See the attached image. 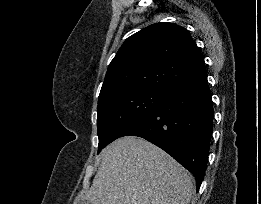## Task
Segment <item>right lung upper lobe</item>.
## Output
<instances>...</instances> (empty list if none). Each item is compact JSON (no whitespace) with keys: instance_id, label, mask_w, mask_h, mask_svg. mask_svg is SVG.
Masks as SVG:
<instances>
[{"instance_id":"cb5924a9","label":"right lung upper lobe","mask_w":261,"mask_h":204,"mask_svg":"<svg viewBox=\"0 0 261 204\" xmlns=\"http://www.w3.org/2000/svg\"><path fill=\"white\" fill-rule=\"evenodd\" d=\"M203 65V55L184 27L152 24L125 40L108 66L99 100L122 90L166 92Z\"/></svg>"}]
</instances>
